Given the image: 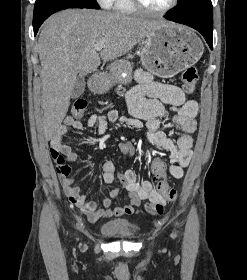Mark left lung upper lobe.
<instances>
[{
    "instance_id": "5c2ea615",
    "label": "left lung upper lobe",
    "mask_w": 247,
    "mask_h": 280,
    "mask_svg": "<svg viewBox=\"0 0 247 280\" xmlns=\"http://www.w3.org/2000/svg\"><path fill=\"white\" fill-rule=\"evenodd\" d=\"M177 16H213L211 0H181L171 12Z\"/></svg>"
}]
</instances>
